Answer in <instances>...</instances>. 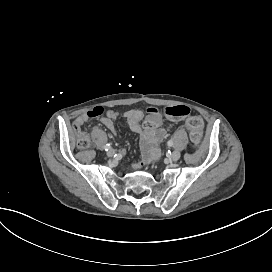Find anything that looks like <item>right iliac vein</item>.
Instances as JSON below:
<instances>
[{
	"label": "right iliac vein",
	"instance_id": "63e3f726",
	"mask_svg": "<svg viewBox=\"0 0 272 272\" xmlns=\"http://www.w3.org/2000/svg\"><path fill=\"white\" fill-rule=\"evenodd\" d=\"M115 153H116V152H115L114 149H110V150L107 151V156L112 157V156L115 155Z\"/></svg>",
	"mask_w": 272,
	"mask_h": 272
}]
</instances>
